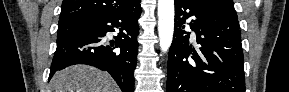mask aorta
Returning <instances> with one entry per match:
<instances>
[{
  "instance_id": "762f6f07",
  "label": "aorta",
  "mask_w": 289,
  "mask_h": 92,
  "mask_svg": "<svg viewBox=\"0 0 289 92\" xmlns=\"http://www.w3.org/2000/svg\"><path fill=\"white\" fill-rule=\"evenodd\" d=\"M174 0H158V34L160 48L166 53L173 40Z\"/></svg>"
}]
</instances>
